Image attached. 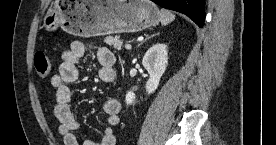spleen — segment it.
<instances>
[{
	"instance_id": "1",
	"label": "spleen",
	"mask_w": 276,
	"mask_h": 145,
	"mask_svg": "<svg viewBox=\"0 0 276 145\" xmlns=\"http://www.w3.org/2000/svg\"><path fill=\"white\" fill-rule=\"evenodd\" d=\"M175 19V16L166 9H161L160 11V21L162 25H168Z\"/></svg>"
}]
</instances>
